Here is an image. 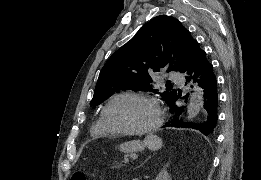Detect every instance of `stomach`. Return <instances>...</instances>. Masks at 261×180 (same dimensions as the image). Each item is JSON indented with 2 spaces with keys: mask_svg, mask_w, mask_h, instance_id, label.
Listing matches in <instances>:
<instances>
[{
  "mask_svg": "<svg viewBox=\"0 0 261 180\" xmlns=\"http://www.w3.org/2000/svg\"><path fill=\"white\" fill-rule=\"evenodd\" d=\"M144 147L143 143L140 141H129L121 144L119 146L120 151L124 153H132L142 150Z\"/></svg>",
  "mask_w": 261,
  "mask_h": 180,
  "instance_id": "0dacf381",
  "label": "stomach"
}]
</instances>
